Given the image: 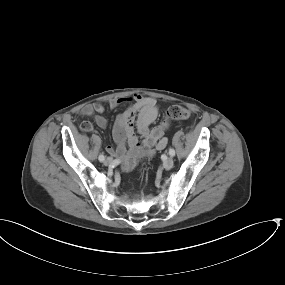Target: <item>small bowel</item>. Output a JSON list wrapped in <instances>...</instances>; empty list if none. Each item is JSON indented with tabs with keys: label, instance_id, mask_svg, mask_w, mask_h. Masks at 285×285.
<instances>
[{
	"label": "small bowel",
	"instance_id": "small-bowel-1",
	"mask_svg": "<svg viewBox=\"0 0 285 285\" xmlns=\"http://www.w3.org/2000/svg\"><path fill=\"white\" fill-rule=\"evenodd\" d=\"M122 103H126L127 107L119 115L113 131L117 145L108 146V151L120 156L123 170L131 171L142 157H151L155 151L163 150L167 146L168 141L164 134L170 122L164 119L159 125L150 127L160 108L154 98L135 94L126 99L110 100L109 107L116 109ZM104 111L103 104L93 103L85 105L81 109V115L90 116ZM94 120L101 128L109 125V120L102 115H96ZM92 128V123L89 121L81 124V129L85 132L91 131ZM136 132L140 135L141 141L138 140Z\"/></svg>",
	"mask_w": 285,
	"mask_h": 285
}]
</instances>
